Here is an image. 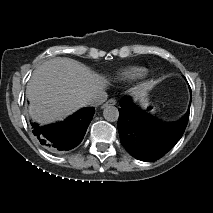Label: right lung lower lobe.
<instances>
[{
    "instance_id": "1",
    "label": "right lung lower lobe",
    "mask_w": 213,
    "mask_h": 213,
    "mask_svg": "<svg viewBox=\"0 0 213 213\" xmlns=\"http://www.w3.org/2000/svg\"><path fill=\"white\" fill-rule=\"evenodd\" d=\"M94 113V108H83L63 122L43 127L33 123V133L43 145L54 150H70L82 141Z\"/></svg>"
}]
</instances>
